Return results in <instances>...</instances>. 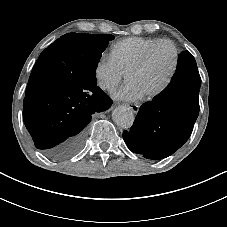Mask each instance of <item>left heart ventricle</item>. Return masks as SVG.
<instances>
[{"label":"left heart ventricle","instance_id":"b2bd125f","mask_svg":"<svg viewBox=\"0 0 227 227\" xmlns=\"http://www.w3.org/2000/svg\"><path fill=\"white\" fill-rule=\"evenodd\" d=\"M173 51L167 44H159L151 53L146 65L140 71L127 76V82L133 83L146 96L158 88L171 68Z\"/></svg>","mask_w":227,"mask_h":227}]
</instances>
